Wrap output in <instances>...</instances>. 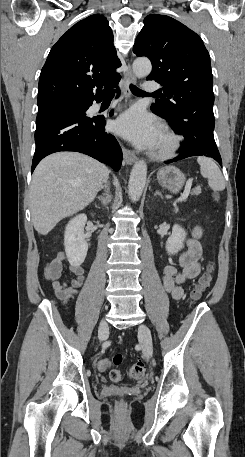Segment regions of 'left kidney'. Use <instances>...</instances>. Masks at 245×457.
Returning <instances> with one entry per match:
<instances>
[{"instance_id": "obj_1", "label": "left kidney", "mask_w": 245, "mask_h": 457, "mask_svg": "<svg viewBox=\"0 0 245 457\" xmlns=\"http://www.w3.org/2000/svg\"><path fill=\"white\" fill-rule=\"evenodd\" d=\"M186 235L187 233H185L180 224H174L172 226V235L168 237L165 245V249L169 255H175V253L183 249Z\"/></svg>"}]
</instances>
